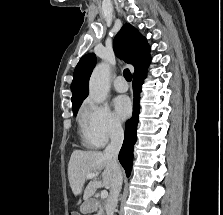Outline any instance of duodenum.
<instances>
[{
  "label": "duodenum",
  "instance_id": "1",
  "mask_svg": "<svg viewBox=\"0 0 223 215\" xmlns=\"http://www.w3.org/2000/svg\"><path fill=\"white\" fill-rule=\"evenodd\" d=\"M84 210L85 211H93L94 210V201L90 198L86 199L84 202Z\"/></svg>",
  "mask_w": 223,
  "mask_h": 215
}]
</instances>
